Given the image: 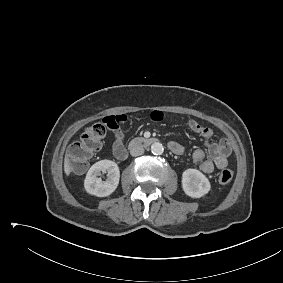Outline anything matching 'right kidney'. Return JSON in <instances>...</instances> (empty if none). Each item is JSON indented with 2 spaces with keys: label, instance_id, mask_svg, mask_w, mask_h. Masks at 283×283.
<instances>
[{
  "label": "right kidney",
  "instance_id": "obj_1",
  "mask_svg": "<svg viewBox=\"0 0 283 283\" xmlns=\"http://www.w3.org/2000/svg\"><path fill=\"white\" fill-rule=\"evenodd\" d=\"M101 172L107 173V179L103 181L100 177ZM120 179V171L117 164L111 160H101L91 166L87 172L84 187L85 190L97 197H106L112 194Z\"/></svg>",
  "mask_w": 283,
  "mask_h": 283
}]
</instances>
